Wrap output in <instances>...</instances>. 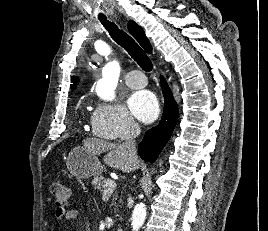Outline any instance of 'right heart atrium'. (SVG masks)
Instances as JSON below:
<instances>
[{
    "label": "right heart atrium",
    "mask_w": 268,
    "mask_h": 231,
    "mask_svg": "<svg viewBox=\"0 0 268 231\" xmlns=\"http://www.w3.org/2000/svg\"><path fill=\"white\" fill-rule=\"evenodd\" d=\"M91 127L97 137L117 141L129 138L137 124L122 104L98 102L91 115Z\"/></svg>",
    "instance_id": "d8ad5b80"
}]
</instances>
